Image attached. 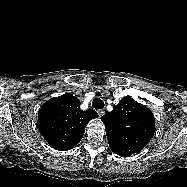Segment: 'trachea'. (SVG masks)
I'll use <instances>...</instances> for the list:
<instances>
[{
	"mask_svg": "<svg viewBox=\"0 0 187 187\" xmlns=\"http://www.w3.org/2000/svg\"><path fill=\"white\" fill-rule=\"evenodd\" d=\"M92 107L95 109H102L104 108V102L100 98H95L92 102Z\"/></svg>",
	"mask_w": 187,
	"mask_h": 187,
	"instance_id": "obj_1",
	"label": "trachea"
}]
</instances>
